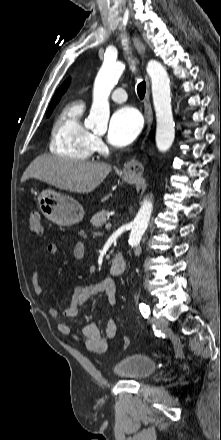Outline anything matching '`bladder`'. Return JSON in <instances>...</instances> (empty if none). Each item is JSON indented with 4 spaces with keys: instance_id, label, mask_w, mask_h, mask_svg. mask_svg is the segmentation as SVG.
Masks as SVG:
<instances>
[{
    "instance_id": "31cf9c89",
    "label": "bladder",
    "mask_w": 221,
    "mask_h": 440,
    "mask_svg": "<svg viewBox=\"0 0 221 440\" xmlns=\"http://www.w3.org/2000/svg\"><path fill=\"white\" fill-rule=\"evenodd\" d=\"M155 361L144 354L135 353L121 358L112 368L115 376L133 381H141L152 375L156 369Z\"/></svg>"
}]
</instances>
